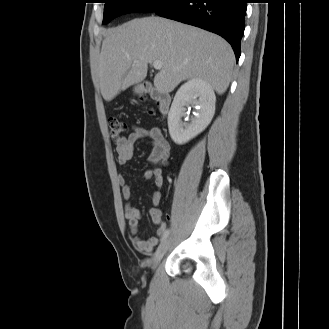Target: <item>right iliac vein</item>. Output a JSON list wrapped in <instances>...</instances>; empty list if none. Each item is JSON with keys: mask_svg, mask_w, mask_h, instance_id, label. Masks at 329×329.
<instances>
[{"mask_svg": "<svg viewBox=\"0 0 329 329\" xmlns=\"http://www.w3.org/2000/svg\"><path fill=\"white\" fill-rule=\"evenodd\" d=\"M168 247H169V240L168 239L163 240L153 256V267H155L161 261Z\"/></svg>", "mask_w": 329, "mask_h": 329, "instance_id": "63e3f726", "label": "right iliac vein"}]
</instances>
